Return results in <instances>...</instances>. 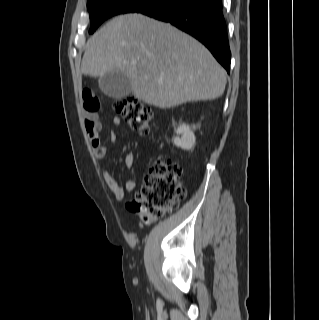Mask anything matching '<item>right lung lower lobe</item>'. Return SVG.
<instances>
[{"label":"right lung lower lobe","instance_id":"right-lung-lower-lobe-1","mask_svg":"<svg viewBox=\"0 0 319 320\" xmlns=\"http://www.w3.org/2000/svg\"><path fill=\"white\" fill-rule=\"evenodd\" d=\"M138 12L169 22L194 36L229 73L231 52L222 0H163Z\"/></svg>","mask_w":319,"mask_h":320}]
</instances>
